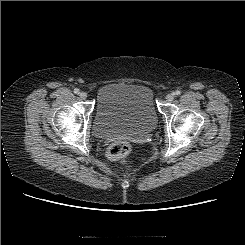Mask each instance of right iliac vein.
Listing matches in <instances>:
<instances>
[{"mask_svg":"<svg viewBox=\"0 0 245 245\" xmlns=\"http://www.w3.org/2000/svg\"><path fill=\"white\" fill-rule=\"evenodd\" d=\"M79 96H80L81 99H86L87 98V93L82 91V92H80Z\"/></svg>","mask_w":245,"mask_h":245,"instance_id":"right-iliac-vein-1","label":"right iliac vein"}]
</instances>
